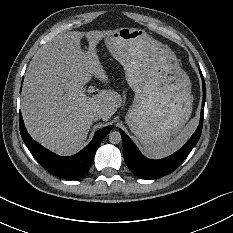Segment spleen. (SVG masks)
Returning <instances> with one entry per match:
<instances>
[{
  "mask_svg": "<svg viewBox=\"0 0 233 233\" xmlns=\"http://www.w3.org/2000/svg\"><path fill=\"white\" fill-rule=\"evenodd\" d=\"M196 123L197 117L194 116L173 141L159 147H143L144 154L152 159H162L174 154L190 139Z\"/></svg>",
  "mask_w": 233,
  "mask_h": 233,
  "instance_id": "1",
  "label": "spleen"
}]
</instances>
